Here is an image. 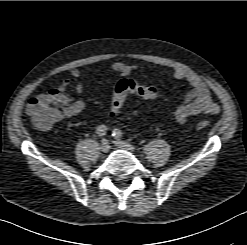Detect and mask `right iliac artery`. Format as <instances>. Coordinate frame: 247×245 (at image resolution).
Returning a JSON list of instances; mask_svg holds the SVG:
<instances>
[{
	"mask_svg": "<svg viewBox=\"0 0 247 245\" xmlns=\"http://www.w3.org/2000/svg\"><path fill=\"white\" fill-rule=\"evenodd\" d=\"M106 126L105 125H100L97 127L96 133L98 136L102 137L106 134Z\"/></svg>",
	"mask_w": 247,
	"mask_h": 245,
	"instance_id": "obj_1",
	"label": "right iliac artery"
}]
</instances>
